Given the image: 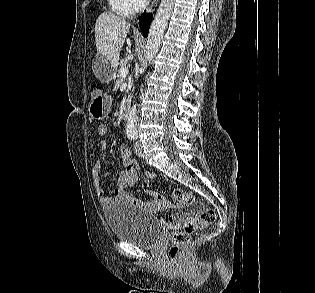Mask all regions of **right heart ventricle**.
<instances>
[{
  "label": "right heart ventricle",
  "mask_w": 315,
  "mask_h": 293,
  "mask_svg": "<svg viewBox=\"0 0 315 293\" xmlns=\"http://www.w3.org/2000/svg\"><path fill=\"white\" fill-rule=\"evenodd\" d=\"M111 10L119 16L130 17L133 10L127 0H108Z\"/></svg>",
  "instance_id": "1"
}]
</instances>
